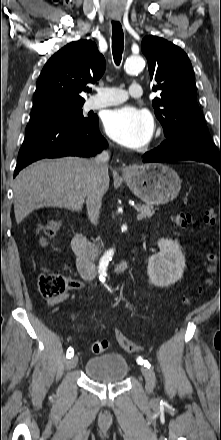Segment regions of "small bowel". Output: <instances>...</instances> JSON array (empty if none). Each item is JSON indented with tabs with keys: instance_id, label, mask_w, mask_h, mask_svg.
<instances>
[{
	"instance_id": "c3829d8e",
	"label": "small bowel",
	"mask_w": 221,
	"mask_h": 440,
	"mask_svg": "<svg viewBox=\"0 0 221 440\" xmlns=\"http://www.w3.org/2000/svg\"><path fill=\"white\" fill-rule=\"evenodd\" d=\"M81 286H82V284L79 281L69 280L67 291L59 298L49 299L48 300L49 304L51 306H53L55 310L59 309L60 304L63 303L65 300H67L70 297L72 291L77 288H80Z\"/></svg>"
}]
</instances>
